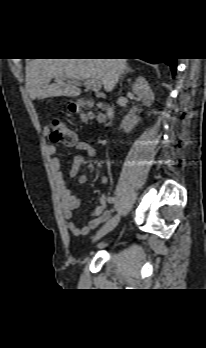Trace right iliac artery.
<instances>
[{
    "instance_id": "1",
    "label": "right iliac artery",
    "mask_w": 206,
    "mask_h": 348,
    "mask_svg": "<svg viewBox=\"0 0 206 348\" xmlns=\"http://www.w3.org/2000/svg\"><path fill=\"white\" fill-rule=\"evenodd\" d=\"M106 201H109V202L114 201V196L112 195L106 196Z\"/></svg>"
}]
</instances>
